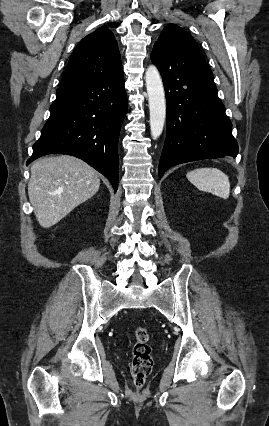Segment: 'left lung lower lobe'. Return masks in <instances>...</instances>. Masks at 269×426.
I'll return each instance as SVG.
<instances>
[{
	"mask_svg": "<svg viewBox=\"0 0 269 426\" xmlns=\"http://www.w3.org/2000/svg\"><path fill=\"white\" fill-rule=\"evenodd\" d=\"M151 60L162 76L167 102V133L159 178L177 164L235 158L238 144L231 132L232 124L205 59L154 45Z\"/></svg>",
	"mask_w": 269,
	"mask_h": 426,
	"instance_id": "0a47b994",
	"label": "left lung lower lobe"
}]
</instances>
